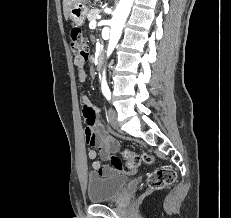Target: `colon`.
<instances>
[{
  "mask_svg": "<svg viewBox=\"0 0 231 218\" xmlns=\"http://www.w3.org/2000/svg\"><path fill=\"white\" fill-rule=\"evenodd\" d=\"M71 50L77 56L88 58L89 46L86 37L82 30L78 27H73L69 33ZM127 161V166L131 170H135L141 163H152L153 157L149 154L138 155L132 151L125 150L123 152ZM111 167L118 169L122 167V163L118 158H114L111 161ZM176 179V172L168 167L159 168L148 175L147 184L151 189H161L168 185H171Z\"/></svg>",
  "mask_w": 231,
  "mask_h": 218,
  "instance_id": "obj_1",
  "label": "colon"
}]
</instances>
